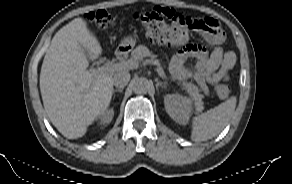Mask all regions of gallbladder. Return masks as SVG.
Here are the masks:
<instances>
[{"label": "gallbladder", "instance_id": "bac80fb5", "mask_svg": "<svg viewBox=\"0 0 292 184\" xmlns=\"http://www.w3.org/2000/svg\"><path fill=\"white\" fill-rule=\"evenodd\" d=\"M83 52L87 58L90 57V53L86 49H83Z\"/></svg>", "mask_w": 292, "mask_h": 184}]
</instances>
